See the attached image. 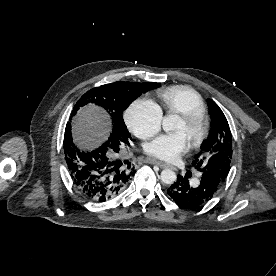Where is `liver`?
<instances>
[{"mask_svg": "<svg viewBox=\"0 0 276 276\" xmlns=\"http://www.w3.org/2000/svg\"><path fill=\"white\" fill-rule=\"evenodd\" d=\"M109 131L108 115L94 105L80 109L72 124L74 142L82 149H92L101 144Z\"/></svg>", "mask_w": 276, "mask_h": 276, "instance_id": "liver-1", "label": "liver"}]
</instances>
